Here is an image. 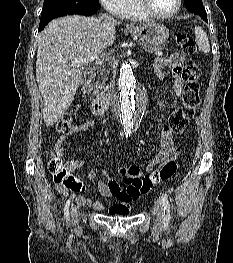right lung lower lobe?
Masks as SVG:
<instances>
[{"label":"right lung lower lobe","instance_id":"1","mask_svg":"<svg viewBox=\"0 0 233 263\" xmlns=\"http://www.w3.org/2000/svg\"><path fill=\"white\" fill-rule=\"evenodd\" d=\"M98 9H92L90 7L84 6L82 5L75 14H81V15H85V16H90L92 14H94ZM49 21L46 22H40L39 25V30L41 31L42 29H44V27L48 24Z\"/></svg>","mask_w":233,"mask_h":263}]
</instances>
